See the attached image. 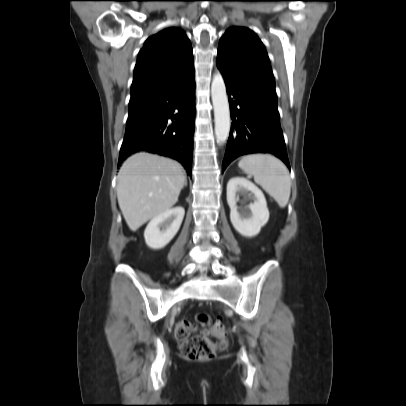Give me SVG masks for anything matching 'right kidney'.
Wrapping results in <instances>:
<instances>
[{
    "label": "right kidney",
    "mask_w": 406,
    "mask_h": 406,
    "mask_svg": "<svg viewBox=\"0 0 406 406\" xmlns=\"http://www.w3.org/2000/svg\"><path fill=\"white\" fill-rule=\"evenodd\" d=\"M184 214V208L175 207L154 217L144 231L146 244L152 249L165 247L178 232Z\"/></svg>",
    "instance_id": "1"
}]
</instances>
